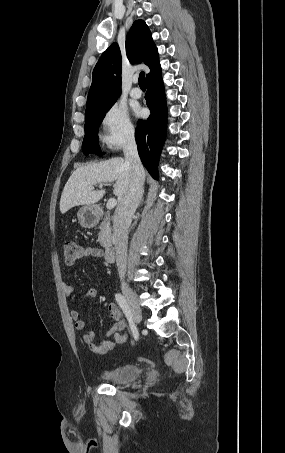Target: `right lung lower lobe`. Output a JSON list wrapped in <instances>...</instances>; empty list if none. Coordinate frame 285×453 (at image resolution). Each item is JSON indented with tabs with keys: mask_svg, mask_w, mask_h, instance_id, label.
Segmentation results:
<instances>
[{
	"mask_svg": "<svg viewBox=\"0 0 285 453\" xmlns=\"http://www.w3.org/2000/svg\"><path fill=\"white\" fill-rule=\"evenodd\" d=\"M147 87L145 99L151 114L147 120L138 121L135 139L143 165L157 179V164L165 140L167 120L161 70L147 78Z\"/></svg>",
	"mask_w": 285,
	"mask_h": 453,
	"instance_id": "98d812e1",
	"label": "right lung lower lobe"
}]
</instances>
